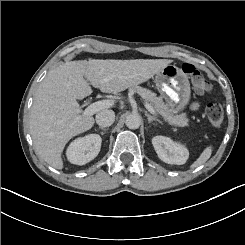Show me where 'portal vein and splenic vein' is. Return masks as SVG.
Wrapping results in <instances>:
<instances>
[{
    "label": "portal vein and splenic vein",
    "instance_id": "1",
    "mask_svg": "<svg viewBox=\"0 0 245 245\" xmlns=\"http://www.w3.org/2000/svg\"><path fill=\"white\" fill-rule=\"evenodd\" d=\"M114 104H115L114 100H109V99L97 101V102L92 103L91 105H89L84 110L83 114L86 115V116H92L95 113L99 112L100 110L112 107ZM145 108L151 114H155V110H154L153 106H151L149 103L145 104Z\"/></svg>",
    "mask_w": 245,
    "mask_h": 245
}]
</instances>
